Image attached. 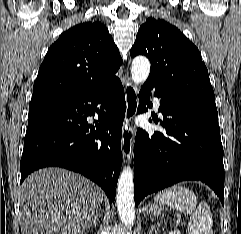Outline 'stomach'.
Listing matches in <instances>:
<instances>
[{
	"label": "stomach",
	"mask_w": 241,
	"mask_h": 234,
	"mask_svg": "<svg viewBox=\"0 0 241 234\" xmlns=\"http://www.w3.org/2000/svg\"><path fill=\"white\" fill-rule=\"evenodd\" d=\"M143 211L147 214V215H160L162 213V207L158 206L156 204H149L147 206H145L143 208Z\"/></svg>",
	"instance_id": "1"
}]
</instances>
